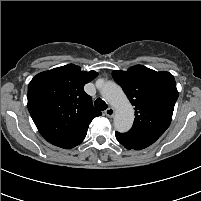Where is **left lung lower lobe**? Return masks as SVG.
Masks as SVG:
<instances>
[{"label": "left lung lower lobe", "instance_id": "obj_1", "mask_svg": "<svg viewBox=\"0 0 201 201\" xmlns=\"http://www.w3.org/2000/svg\"><path fill=\"white\" fill-rule=\"evenodd\" d=\"M116 139L128 150H141L153 144L159 137L149 134L139 133H119L116 132Z\"/></svg>", "mask_w": 201, "mask_h": 201}]
</instances>
